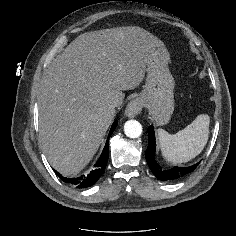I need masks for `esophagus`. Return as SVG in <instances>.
<instances>
[{"label": "esophagus", "mask_w": 236, "mask_h": 236, "mask_svg": "<svg viewBox=\"0 0 236 236\" xmlns=\"http://www.w3.org/2000/svg\"><path fill=\"white\" fill-rule=\"evenodd\" d=\"M142 107H143V101L138 97L134 98L127 105L125 110V115L129 118H133L138 114H140V112L142 111Z\"/></svg>", "instance_id": "esophagus-1"}]
</instances>
